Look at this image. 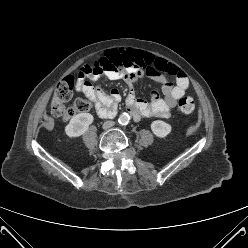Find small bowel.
<instances>
[{
	"instance_id": "small-bowel-1",
	"label": "small bowel",
	"mask_w": 248,
	"mask_h": 248,
	"mask_svg": "<svg viewBox=\"0 0 248 248\" xmlns=\"http://www.w3.org/2000/svg\"><path fill=\"white\" fill-rule=\"evenodd\" d=\"M115 52H119L131 66L126 71H105V76L108 79L125 80L132 86L139 79L148 77L160 83L162 86L163 98H159L155 90L150 91V101L137 99L133 91L128 94L126 108L133 118L139 120L142 117H169L177 101L185 95L188 88L189 82L184 72L177 66L148 52L136 50ZM87 68L88 67H84L80 71L76 91L85 95L93 102L95 111L99 117H113L117 109V104L120 101L118 89L113 88L110 93H106L101 87L94 86L91 80H98L99 75L88 73ZM167 75L174 77L176 82H171L167 78Z\"/></svg>"
}]
</instances>
